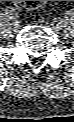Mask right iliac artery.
Here are the masks:
<instances>
[{
    "label": "right iliac artery",
    "instance_id": "obj_1",
    "mask_svg": "<svg viewBox=\"0 0 74 122\" xmlns=\"http://www.w3.org/2000/svg\"><path fill=\"white\" fill-rule=\"evenodd\" d=\"M6 11V14H9V16L13 17L14 13H15V9L14 8H9Z\"/></svg>",
    "mask_w": 74,
    "mask_h": 122
}]
</instances>
